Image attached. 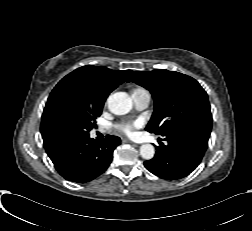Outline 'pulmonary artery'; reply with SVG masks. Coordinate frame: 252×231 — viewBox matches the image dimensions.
I'll return each instance as SVG.
<instances>
[{"label": "pulmonary artery", "instance_id": "obj_1", "mask_svg": "<svg viewBox=\"0 0 252 231\" xmlns=\"http://www.w3.org/2000/svg\"><path fill=\"white\" fill-rule=\"evenodd\" d=\"M132 98L134 105L138 110H143L147 108L151 101L150 93L143 89L133 91ZM99 131L105 132V129L100 128Z\"/></svg>", "mask_w": 252, "mask_h": 231}]
</instances>
